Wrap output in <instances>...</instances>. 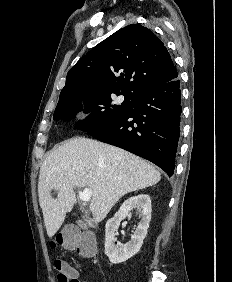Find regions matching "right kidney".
I'll list each match as a JSON object with an SVG mask.
<instances>
[{"mask_svg": "<svg viewBox=\"0 0 232 282\" xmlns=\"http://www.w3.org/2000/svg\"><path fill=\"white\" fill-rule=\"evenodd\" d=\"M136 209L141 215V221L131 240L125 245L115 244V232L120 222L129 216L130 211ZM151 199L147 194H140L127 199L120 207L119 211L106 222L105 225V254L110 262L122 263L139 252L143 240L147 235L149 222L151 220Z\"/></svg>", "mask_w": 232, "mask_h": 282, "instance_id": "1", "label": "right kidney"}]
</instances>
